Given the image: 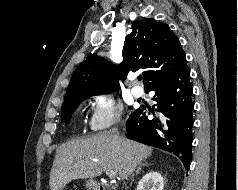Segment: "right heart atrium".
Here are the masks:
<instances>
[{
    "label": "right heart atrium",
    "mask_w": 238,
    "mask_h": 190,
    "mask_svg": "<svg viewBox=\"0 0 238 190\" xmlns=\"http://www.w3.org/2000/svg\"><path fill=\"white\" fill-rule=\"evenodd\" d=\"M123 108L107 93H97L90 101L89 125L93 131H103L119 123Z\"/></svg>",
    "instance_id": "right-heart-atrium-1"
}]
</instances>
